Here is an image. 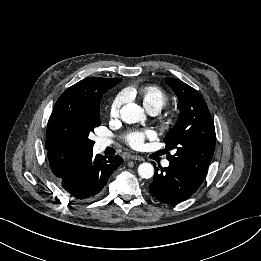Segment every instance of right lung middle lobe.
I'll use <instances>...</instances> for the list:
<instances>
[{
    "label": "right lung middle lobe",
    "mask_w": 261,
    "mask_h": 261,
    "mask_svg": "<svg viewBox=\"0 0 261 261\" xmlns=\"http://www.w3.org/2000/svg\"><path fill=\"white\" fill-rule=\"evenodd\" d=\"M101 98L89 99L70 108L64 102L55 105L47 126L46 145L92 150L89 135L101 124Z\"/></svg>",
    "instance_id": "dd1d6c3e"
}]
</instances>
